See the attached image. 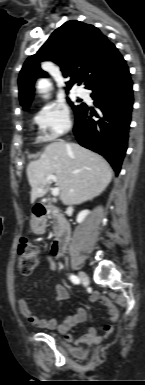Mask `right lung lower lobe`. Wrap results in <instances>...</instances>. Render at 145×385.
<instances>
[{
	"instance_id": "1",
	"label": "right lung lower lobe",
	"mask_w": 145,
	"mask_h": 385,
	"mask_svg": "<svg viewBox=\"0 0 145 385\" xmlns=\"http://www.w3.org/2000/svg\"><path fill=\"white\" fill-rule=\"evenodd\" d=\"M89 89L100 112L97 114L83 103L75 113L74 134L80 145L103 155L119 173L127 149L134 100L128 67Z\"/></svg>"
}]
</instances>
